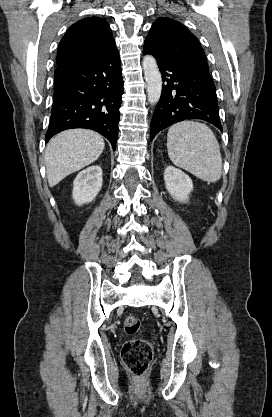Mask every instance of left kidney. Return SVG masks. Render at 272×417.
<instances>
[{
  "label": "left kidney",
  "instance_id": "left-kidney-1",
  "mask_svg": "<svg viewBox=\"0 0 272 417\" xmlns=\"http://www.w3.org/2000/svg\"><path fill=\"white\" fill-rule=\"evenodd\" d=\"M164 181L169 194L179 202H187L189 194L193 190L191 178L182 170L173 166L166 167Z\"/></svg>",
  "mask_w": 272,
  "mask_h": 417
}]
</instances>
